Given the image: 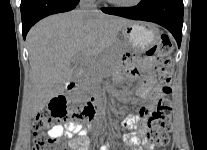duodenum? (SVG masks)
<instances>
[{"mask_svg":"<svg viewBox=\"0 0 207 150\" xmlns=\"http://www.w3.org/2000/svg\"><path fill=\"white\" fill-rule=\"evenodd\" d=\"M78 85L75 81L68 85V91L72 92L77 90ZM98 103V98H92L84 107L80 108L77 112L83 117H93L95 114V108Z\"/></svg>","mask_w":207,"mask_h":150,"instance_id":"410a0bca","label":"duodenum"}]
</instances>
